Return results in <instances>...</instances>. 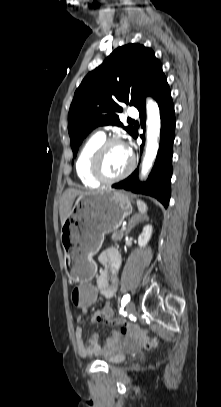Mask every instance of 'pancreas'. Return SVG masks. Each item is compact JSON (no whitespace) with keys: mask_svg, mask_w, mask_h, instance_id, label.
Listing matches in <instances>:
<instances>
[{"mask_svg":"<svg viewBox=\"0 0 221 407\" xmlns=\"http://www.w3.org/2000/svg\"><path fill=\"white\" fill-rule=\"evenodd\" d=\"M123 236H124V231L123 230L115 231L112 234V240L115 241V242L120 241V240H122Z\"/></svg>","mask_w":221,"mask_h":407,"instance_id":"pancreas-1","label":"pancreas"}]
</instances>
